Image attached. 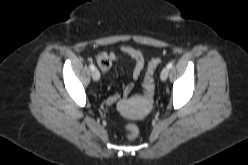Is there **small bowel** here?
I'll use <instances>...</instances> for the list:
<instances>
[{
	"label": "small bowel",
	"instance_id": "c3829d8e",
	"mask_svg": "<svg viewBox=\"0 0 248 165\" xmlns=\"http://www.w3.org/2000/svg\"><path fill=\"white\" fill-rule=\"evenodd\" d=\"M121 52L128 55L134 60V68L132 71L131 81L124 84L122 87V95L127 97L131 94L134 89L135 82L140 78L141 73L145 65V56L144 53L137 48H134L129 45H123L121 47ZM99 61L98 66L100 67L103 73H108L113 62L119 59V54L116 51H110L107 54L101 55L98 57ZM120 100L118 95H113L108 99L109 104H116Z\"/></svg>",
	"mask_w": 248,
	"mask_h": 165
}]
</instances>
